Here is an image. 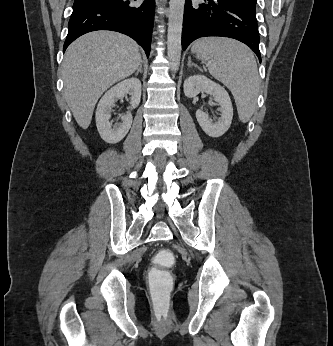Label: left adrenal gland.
Returning a JSON list of instances; mask_svg holds the SVG:
<instances>
[{
    "label": "left adrenal gland",
    "instance_id": "a2214340",
    "mask_svg": "<svg viewBox=\"0 0 333 346\" xmlns=\"http://www.w3.org/2000/svg\"><path fill=\"white\" fill-rule=\"evenodd\" d=\"M192 66L198 67V65H197V64L192 63V61H191V57H188V67H192ZM198 68H199V67H198Z\"/></svg>",
    "mask_w": 333,
    "mask_h": 346
}]
</instances>
